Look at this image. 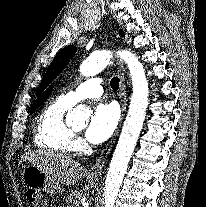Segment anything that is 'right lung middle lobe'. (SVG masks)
Here are the masks:
<instances>
[{
    "label": "right lung middle lobe",
    "mask_w": 206,
    "mask_h": 207,
    "mask_svg": "<svg viewBox=\"0 0 206 207\" xmlns=\"http://www.w3.org/2000/svg\"><path fill=\"white\" fill-rule=\"evenodd\" d=\"M36 110V108L31 109V114Z\"/></svg>",
    "instance_id": "1"
}]
</instances>
